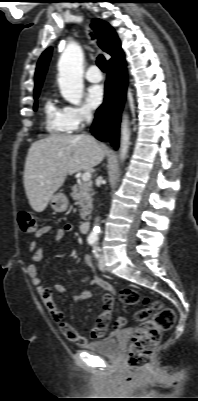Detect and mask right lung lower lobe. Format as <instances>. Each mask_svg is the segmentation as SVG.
I'll return each mask as SVG.
<instances>
[{"mask_svg": "<svg viewBox=\"0 0 198 401\" xmlns=\"http://www.w3.org/2000/svg\"><path fill=\"white\" fill-rule=\"evenodd\" d=\"M126 88V64L121 52L109 61L104 102L97 109L91 127L92 134L98 140L110 141L116 149L119 145V125Z\"/></svg>", "mask_w": 198, "mask_h": 401, "instance_id": "1", "label": "right lung lower lobe"}]
</instances>
